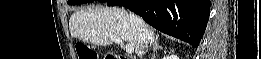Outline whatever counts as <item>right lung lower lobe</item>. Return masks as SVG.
I'll use <instances>...</instances> for the list:
<instances>
[{"mask_svg": "<svg viewBox=\"0 0 261 59\" xmlns=\"http://www.w3.org/2000/svg\"><path fill=\"white\" fill-rule=\"evenodd\" d=\"M125 6L154 28L198 47L210 14V0H108Z\"/></svg>", "mask_w": 261, "mask_h": 59, "instance_id": "right-lung-lower-lobe-1", "label": "right lung lower lobe"}]
</instances>
